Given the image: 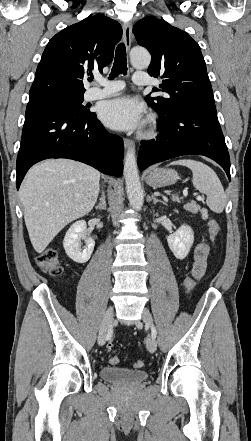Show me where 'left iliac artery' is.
I'll return each mask as SVG.
<instances>
[{"label":"left iliac artery","instance_id":"1","mask_svg":"<svg viewBox=\"0 0 251 441\" xmlns=\"http://www.w3.org/2000/svg\"><path fill=\"white\" fill-rule=\"evenodd\" d=\"M151 331H152V336L154 337V338H156V334H157V332H156V329H155V327L152 325L151 326Z\"/></svg>","mask_w":251,"mask_h":441}]
</instances>
